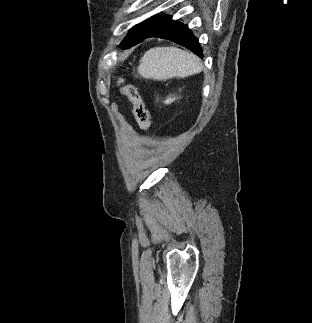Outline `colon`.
<instances>
[{
	"instance_id": "obj_1",
	"label": "colon",
	"mask_w": 312,
	"mask_h": 323,
	"mask_svg": "<svg viewBox=\"0 0 312 323\" xmlns=\"http://www.w3.org/2000/svg\"><path fill=\"white\" fill-rule=\"evenodd\" d=\"M120 94L127 97L133 106L134 116L143 131H149L151 128V119L146 103L138 88L131 83H120Z\"/></svg>"
}]
</instances>
